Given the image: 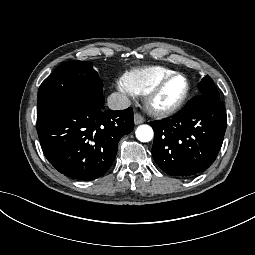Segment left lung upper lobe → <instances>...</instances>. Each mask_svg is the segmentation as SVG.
Instances as JSON below:
<instances>
[{
	"mask_svg": "<svg viewBox=\"0 0 255 255\" xmlns=\"http://www.w3.org/2000/svg\"><path fill=\"white\" fill-rule=\"evenodd\" d=\"M198 88H199L200 94L212 95L220 99L219 92L210 76L206 75L198 84Z\"/></svg>",
	"mask_w": 255,
	"mask_h": 255,
	"instance_id": "5c2ea615",
	"label": "left lung upper lobe"
}]
</instances>
